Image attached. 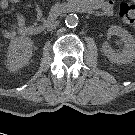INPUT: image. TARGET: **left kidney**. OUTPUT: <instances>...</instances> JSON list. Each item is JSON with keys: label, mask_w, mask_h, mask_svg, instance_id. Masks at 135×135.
I'll use <instances>...</instances> for the list:
<instances>
[{"label": "left kidney", "mask_w": 135, "mask_h": 135, "mask_svg": "<svg viewBox=\"0 0 135 135\" xmlns=\"http://www.w3.org/2000/svg\"><path fill=\"white\" fill-rule=\"evenodd\" d=\"M109 35H116L124 42V48L122 52H115L108 42H104L102 45V52L112 62L117 64L130 63L135 58V39L120 26H111L108 29Z\"/></svg>", "instance_id": "obj_1"}]
</instances>
